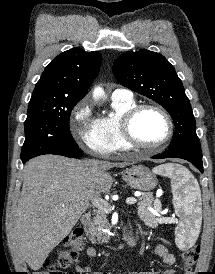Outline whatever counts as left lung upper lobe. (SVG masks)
I'll list each match as a JSON object with an SVG mask.
<instances>
[{
	"label": "left lung upper lobe",
	"instance_id": "5c2ea615",
	"mask_svg": "<svg viewBox=\"0 0 215 274\" xmlns=\"http://www.w3.org/2000/svg\"><path fill=\"white\" fill-rule=\"evenodd\" d=\"M113 73L123 86L169 112L175 124L169 150L202 155L189 99L174 67L163 55L145 49L127 52L115 61Z\"/></svg>",
	"mask_w": 215,
	"mask_h": 274
}]
</instances>
